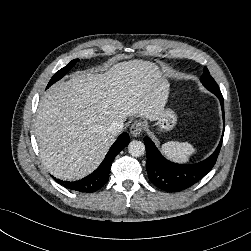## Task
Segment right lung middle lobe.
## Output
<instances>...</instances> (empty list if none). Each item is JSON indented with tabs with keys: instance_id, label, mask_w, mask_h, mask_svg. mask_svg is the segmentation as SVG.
I'll use <instances>...</instances> for the list:
<instances>
[{
	"instance_id": "obj_1",
	"label": "right lung middle lobe",
	"mask_w": 251,
	"mask_h": 251,
	"mask_svg": "<svg viewBox=\"0 0 251 251\" xmlns=\"http://www.w3.org/2000/svg\"><path fill=\"white\" fill-rule=\"evenodd\" d=\"M79 61V59H74L69 62L65 67L60 69L55 75L51 78L50 82L47 85V88L50 87L53 83L64 77V75Z\"/></svg>"
}]
</instances>
